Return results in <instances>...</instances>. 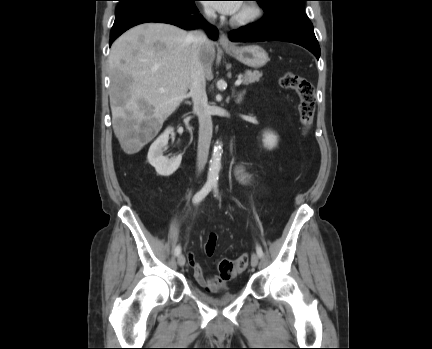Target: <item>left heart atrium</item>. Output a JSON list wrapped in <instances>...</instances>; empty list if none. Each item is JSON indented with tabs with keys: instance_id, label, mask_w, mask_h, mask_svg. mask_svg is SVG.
Returning a JSON list of instances; mask_svg holds the SVG:
<instances>
[{
	"instance_id": "obj_1",
	"label": "left heart atrium",
	"mask_w": 432,
	"mask_h": 349,
	"mask_svg": "<svg viewBox=\"0 0 432 349\" xmlns=\"http://www.w3.org/2000/svg\"><path fill=\"white\" fill-rule=\"evenodd\" d=\"M211 8L217 10L220 13L227 15H234L238 12L241 7L239 1H223L215 3H207Z\"/></svg>"
}]
</instances>
